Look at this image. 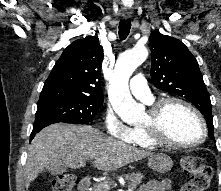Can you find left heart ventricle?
Listing matches in <instances>:
<instances>
[{
    "mask_svg": "<svg viewBox=\"0 0 221 191\" xmlns=\"http://www.w3.org/2000/svg\"><path fill=\"white\" fill-rule=\"evenodd\" d=\"M147 121V117L144 123ZM165 130L169 140L191 143L200 139L201 127L197 118L179 105H171L165 114Z\"/></svg>",
    "mask_w": 221,
    "mask_h": 191,
    "instance_id": "1",
    "label": "left heart ventricle"
}]
</instances>
